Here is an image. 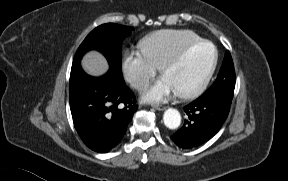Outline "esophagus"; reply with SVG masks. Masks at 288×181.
Masks as SVG:
<instances>
[{"label": "esophagus", "instance_id": "obj_1", "mask_svg": "<svg viewBox=\"0 0 288 181\" xmlns=\"http://www.w3.org/2000/svg\"><path fill=\"white\" fill-rule=\"evenodd\" d=\"M152 107H153L154 109L158 110V111H163V110L166 109V107L163 106V105H156V104H153Z\"/></svg>", "mask_w": 288, "mask_h": 181}]
</instances>
